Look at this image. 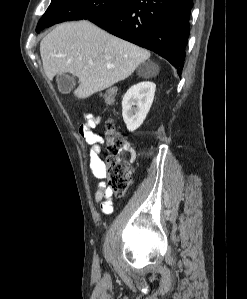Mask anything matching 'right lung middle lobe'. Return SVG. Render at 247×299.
Returning <instances> with one entry per match:
<instances>
[{"label": "right lung middle lobe", "instance_id": "obj_1", "mask_svg": "<svg viewBox=\"0 0 247 299\" xmlns=\"http://www.w3.org/2000/svg\"><path fill=\"white\" fill-rule=\"evenodd\" d=\"M128 0H52L36 31L68 20L91 19L106 14Z\"/></svg>", "mask_w": 247, "mask_h": 299}]
</instances>
